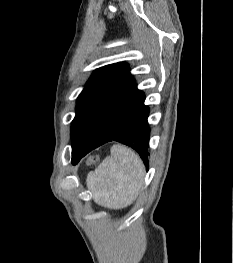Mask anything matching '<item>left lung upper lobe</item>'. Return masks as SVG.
Segmentation results:
<instances>
[{
  "instance_id": "left-lung-upper-lobe-1",
  "label": "left lung upper lobe",
  "mask_w": 233,
  "mask_h": 263,
  "mask_svg": "<svg viewBox=\"0 0 233 263\" xmlns=\"http://www.w3.org/2000/svg\"><path fill=\"white\" fill-rule=\"evenodd\" d=\"M129 67L119 62L94 71L77 99L72 121V146H84L99 117L129 79Z\"/></svg>"
}]
</instances>
